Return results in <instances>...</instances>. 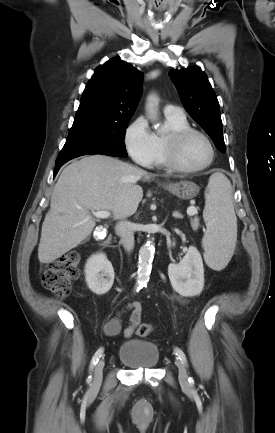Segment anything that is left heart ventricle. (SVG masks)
Returning a JSON list of instances; mask_svg holds the SVG:
<instances>
[{"instance_id": "left-heart-ventricle-1", "label": "left heart ventricle", "mask_w": 275, "mask_h": 433, "mask_svg": "<svg viewBox=\"0 0 275 433\" xmlns=\"http://www.w3.org/2000/svg\"><path fill=\"white\" fill-rule=\"evenodd\" d=\"M179 158L186 167L201 166L210 158L209 146L201 136L192 135L183 142Z\"/></svg>"}]
</instances>
